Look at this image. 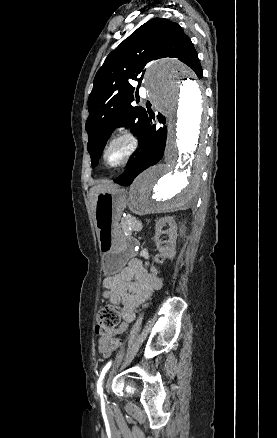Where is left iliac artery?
Wrapping results in <instances>:
<instances>
[{"label": "left iliac artery", "mask_w": 277, "mask_h": 438, "mask_svg": "<svg viewBox=\"0 0 277 438\" xmlns=\"http://www.w3.org/2000/svg\"><path fill=\"white\" fill-rule=\"evenodd\" d=\"M111 364H112V361H109V362L104 366V368H103L102 371H101L100 377H99V379H98V382H97V393H98V395H99L100 397H102V392H103L102 381H103V378H104L106 372H107L108 369L110 368Z\"/></svg>", "instance_id": "44dca946"}]
</instances>
